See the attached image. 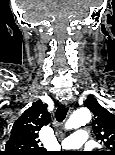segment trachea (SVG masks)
Returning <instances> with one entry per match:
<instances>
[{"instance_id":"trachea-1","label":"trachea","mask_w":115,"mask_h":155,"mask_svg":"<svg viewBox=\"0 0 115 155\" xmlns=\"http://www.w3.org/2000/svg\"><path fill=\"white\" fill-rule=\"evenodd\" d=\"M68 112V107L59 106L55 112V118L59 123H62Z\"/></svg>"}]
</instances>
